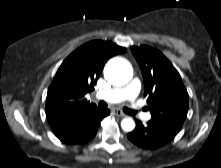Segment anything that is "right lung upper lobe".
<instances>
[{
	"label": "right lung upper lobe",
	"instance_id": "right-lung-upper-lobe-1",
	"mask_svg": "<svg viewBox=\"0 0 221 168\" xmlns=\"http://www.w3.org/2000/svg\"><path fill=\"white\" fill-rule=\"evenodd\" d=\"M126 51L109 41H90L72 52L61 64L48 89V121L96 108L84 96L94 89L109 58Z\"/></svg>",
	"mask_w": 221,
	"mask_h": 168
}]
</instances>
